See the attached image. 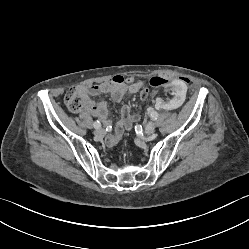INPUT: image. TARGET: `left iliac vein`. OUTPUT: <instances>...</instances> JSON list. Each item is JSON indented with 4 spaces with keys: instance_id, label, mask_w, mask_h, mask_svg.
<instances>
[{
    "instance_id": "1",
    "label": "left iliac vein",
    "mask_w": 249,
    "mask_h": 249,
    "mask_svg": "<svg viewBox=\"0 0 249 249\" xmlns=\"http://www.w3.org/2000/svg\"><path fill=\"white\" fill-rule=\"evenodd\" d=\"M155 131V123L153 121H150L145 126L144 132L146 135H151Z\"/></svg>"
}]
</instances>
